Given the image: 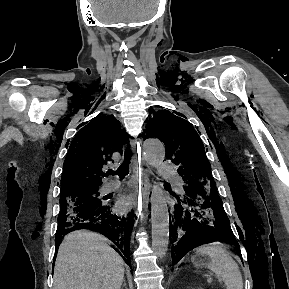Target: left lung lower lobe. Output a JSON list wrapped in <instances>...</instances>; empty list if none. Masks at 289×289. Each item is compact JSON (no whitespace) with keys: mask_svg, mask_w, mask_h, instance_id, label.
Returning <instances> with one entry per match:
<instances>
[{"mask_svg":"<svg viewBox=\"0 0 289 289\" xmlns=\"http://www.w3.org/2000/svg\"><path fill=\"white\" fill-rule=\"evenodd\" d=\"M176 198L169 214L173 265L197 247L196 240L201 238L227 240L238 248L216 187L183 186V193Z\"/></svg>","mask_w":289,"mask_h":289,"instance_id":"obj_1","label":"left lung lower lobe"}]
</instances>
